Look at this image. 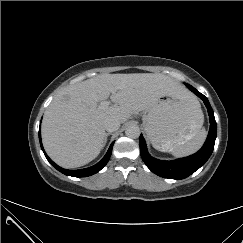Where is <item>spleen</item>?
<instances>
[{"instance_id": "obj_1", "label": "spleen", "mask_w": 243, "mask_h": 243, "mask_svg": "<svg viewBox=\"0 0 243 243\" xmlns=\"http://www.w3.org/2000/svg\"><path fill=\"white\" fill-rule=\"evenodd\" d=\"M201 115L203 116L202 113ZM206 135L207 133L204 129L199 130L192 139L182 145L172 148L170 152L176 157H183L193 154L201 148L206 139Z\"/></svg>"}]
</instances>
